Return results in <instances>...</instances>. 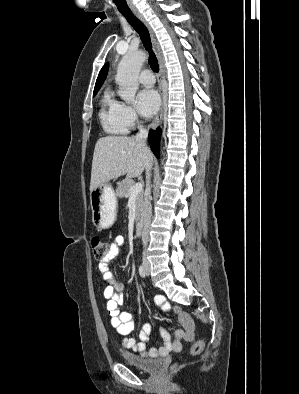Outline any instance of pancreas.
<instances>
[{"label": "pancreas", "instance_id": "pancreas-1", "mask_svg": "<svg viewBox=\"0 0 299 394\" xmlns=\"http://www.w3.org/2000/svg\"><path fill=\"white\" fill-rule=\"evenodd\" d=\"M135 185V182L132 179L126 178L122 180L117 187V195L118 197H129L130 196V189ZM143 204H144V193L140 192L136 196V221L139 220L141 213L143 211Z\"/></svg>", "mask_w": 299, "mask_h": 394}]
</instances>
